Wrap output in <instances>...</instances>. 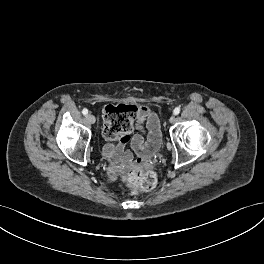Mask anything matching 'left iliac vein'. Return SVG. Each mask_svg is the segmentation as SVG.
Masks as SVG:
<instances>
[{
  "instance_id": "4c4485c4",
  "label": "left iliac vein",
  "mask_w": 264,
  "mask_h": 264,
  "mask_svg": "<svg viewBox=\"0 0 264 264\" xmlns=\"http://www.w3.org/2000/svg\"><path fill=\"white\" fill-rule=\"evenodd\" d=\"M175 120H176V118H175L174 116H171L170 119H169V122H170V123H174Z\"/></svg>"
}]
</instances>
